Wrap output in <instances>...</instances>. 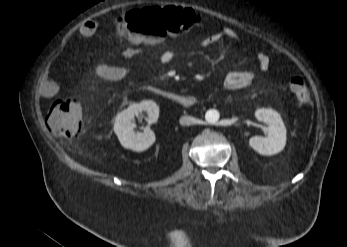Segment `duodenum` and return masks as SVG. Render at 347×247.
<instances>
[{
  "label": "duodenum",
  "mask_w": 347,
  "mask_h": 247,
  "mask_svg": "<svg viewBox=\"0 0 347 247\" xmlns=\"http://www.w3.org/2000/svg\"><path fill=\"white\" fill-rule=\"evenodd\" d=\"M162 97L172 101L173 103L182 107H193L197 104V98L193 95L178 94L174 92H169L162 90L159 93Z\"/></svg>",
  "instance_id": "410a0bca"
}]
</instances>
